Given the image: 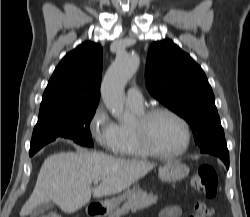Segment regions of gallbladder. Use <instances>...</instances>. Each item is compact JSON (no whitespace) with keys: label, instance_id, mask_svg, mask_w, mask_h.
<instances>
[{"label":"gallbladder","instance_id":"gallbladder-1","mask_svg":"<svg viewBox=\"0 0 250 217\" xmlns=\"http://www.w3.org/2000/svg\"><path fill=\"white\" fill-rule=\"evenodd\" d=\"M53 203L52 202H46V203H42L40 205H38L33 211H32V216L33 217H37L41 214H44L46 211H48L49 209H51L53 207Z\"/></svg>","mask_w":250,"mask_h":217}]
</instances>
